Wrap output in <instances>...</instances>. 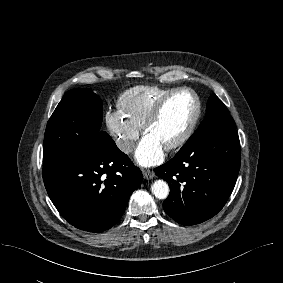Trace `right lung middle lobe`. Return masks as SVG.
Returning <instances> with one entry per match:
<instances>
[{
    "instance_id": "dd1d6c3e",
    "label": "right lung middle lobe",
    "mask_w": 283,
    "mask_h": 283,
    "mask_svg": "<svg viewBox=\"0 0 283 283\" xmlns=\"http://www.w3.org/2000/svg\"><path fill=\"white\" fill-rule=\"evenodd\" d=\"M102 101L88 88L65 93L50 117L44 136V167H50L81 148H93L110 136L101 131Z\"/></svg>"
}]
</instances>
